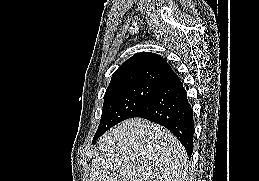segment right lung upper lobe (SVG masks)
<instances>
[{"label": "right lung upper lobe", "mask_w": 259, "mask_h": 181, "mask_svg": "<svg viewBox=\"0 0 259 181\" xmlns=\"http://www.w3.org/2000/svg\"><path fill=\"white\" fill-rule=\"evenodd\" d=\"M172 73V68L161 55L140 52L126 60L114 72L107 89L134 84L159 85Z\"/></svg>", "instance_id": "right-lung-upper-lobe-1"}]
</instances>
